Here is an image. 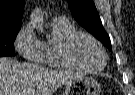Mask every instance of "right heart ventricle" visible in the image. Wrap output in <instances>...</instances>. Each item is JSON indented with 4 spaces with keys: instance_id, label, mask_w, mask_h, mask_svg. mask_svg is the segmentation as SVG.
Segmentation results:
<instances>
[{
    "instance_id": "e07e8e85",
    "label": "right heart ventricle",
    "mask_w": 135,
    "mask_h": 95,
    "mask_svg": "<svg viewBox=\"0 0 135 95\" xmlns=\"http://www.w3.org/2000/svg\"><path fill=\"white\" fill-rule=\"evenodd\" d=\"M49 28L51 37L43 42L44 63L54 68H74L59 57L58 48L67 36L77 31L75 26L65 18H55L50 22Z\"/></svg>"
}]
</instances>
